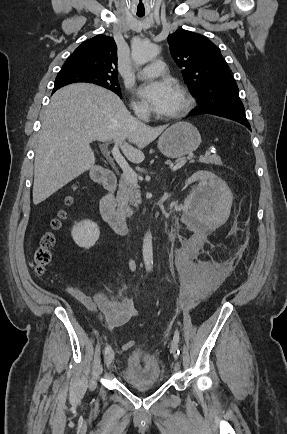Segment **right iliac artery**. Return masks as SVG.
Returning <instances> with one entry per match:
<instances>
[{
  "mask_svg": "<svg viewBox=\"0 0 287 434\" xmlns=\"http://www.w3.org/2000/svg\"><path fill=\"white\" fill-rule=\"evenodd\" d=\"M110 350H111V346H110V345H107V346L105 347L104 353L107 354Z\"/></svg>",
  "mask_w": 287,
  "mask_h": 434,
  "instance_id": "obj_1",
  "label": "right iliac artery"
}]
</instances>
